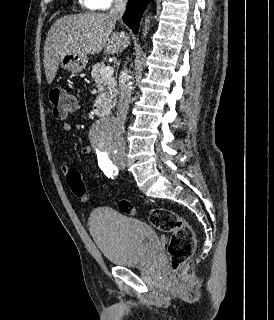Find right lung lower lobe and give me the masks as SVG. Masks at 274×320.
<instances>
[{
	"label": "right lung lower lobe",
	"instance_id": "obj_1",
	"mask_svg": "<svg viewBox=\"0 0 274 320\" xmlns=\"http://www.w3.org/2000/svg\"><path fill=\"white\" fill-rule=\"evenodd\" d=\"M147 2L148 0H128L123 20L135 34L138 33L143 9Z\"/></svg>",
	"mask_w": 274,
	"mask_h": 320
}]
</instances>
